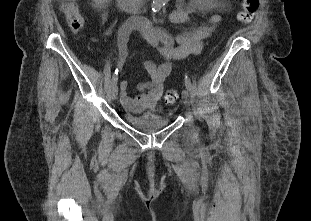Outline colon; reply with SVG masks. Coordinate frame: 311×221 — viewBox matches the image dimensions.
<instances>
[{
  "mask_svg": "<svg viewBox=\"0 0 311 221\" xmlns=\"http://www.w3.org/2000/svg\"><path fill=\"white\" fill-rule=\"evenodd\" d=\"M243 9L238 13L237 18L241 24H250L258 9L259 0H241ZM61 9L66 17L67 24L73 32H78L82 29L84 16L81 13L78 5L71 0H64L61 3ZM179 97V89L177 87H169L164 93V101L166 104L176 102Z\"/></svg>",
  "mask_w": 311,
  "mask_h": 221,
  "instance_id": "1",
  "label": "colon"
}]
</instances>
